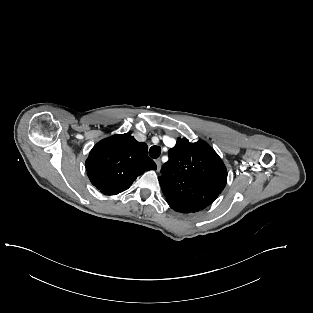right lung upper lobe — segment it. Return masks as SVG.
Returning <instances> with one entry per match:
<instances>
[{
    "instance_id": "1",
    "label": "right lung upper lobe",
    "mask_w": 313,
    "mask_h": 313,
    "mask_svg": "<svg viewBox=\"0 0 313 313\" xmlns=\"http://www.w3.org/2000/svg\"><path fill=\"white\" fill-rule=\"evenodd\" d=\"M147 150L146 143L136 141L129 133L101 140L86 160L91 183L105 195L127 190L139 175L157 168Z\"/></svg>"
}]
</instances>
